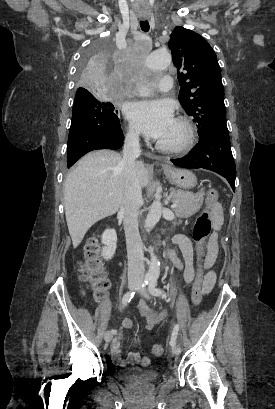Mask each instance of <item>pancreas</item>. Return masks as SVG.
<instances>
[{"label":"pancreas","instance_id":"1","mask_svg":"<svg viewBox=\"0 0 275 409\" xmlns=\"http://www.w3.org/2000/svg\"><path fill=\"white\" fill-rule=\"evenodd\" d=\"M170 190L172 202H176L177 205L173 209L177 217L187 219L199 211L205 194L204 190H200V192H189V190H180V188L179 190L170 188Z\"/></svg>","mask_w":275,"mask_h":409}]
</instances>
